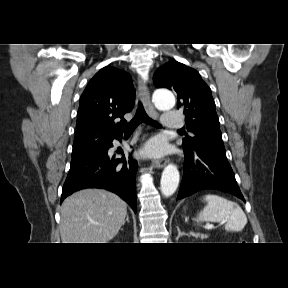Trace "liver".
Returning a JSON list of instances; mask_svg holds the SVG:
<instances>
[{
	"label": "liver",
	"instance_id": "6515ba94",
	"mask_svg": "<svg viewBox=\"0 0 288 288\" xmlns=\"http://www.w3.org/2000/svg\"><path fill=\"white\" fill-rule=\"evenodd\" d=\"M127 215L126 203L114 193L85 189L67 197L61 206L62 243H107Z\"/></svg>",
	"mask_w": 288,
	"mask_h": 288
}]
</instances>
